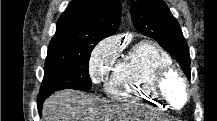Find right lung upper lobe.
<instances>
[{
    "label": "right lung upper lobe",
    "mask_w": 217,
    "mask_h": 121,
    "mask_svg": "<svg viewBox=\"0 0 217 121\" xmlns=\"http://www.w3.org/2000/svg\"><path fill=\"white\" fill-rule=\"evenodd\" d=\"M121 12L119 0H72L58 19L51 42L100 41L116 33Z\"/></svg>",
    "instance_id": "cb5924a9"
}]
</instances>
